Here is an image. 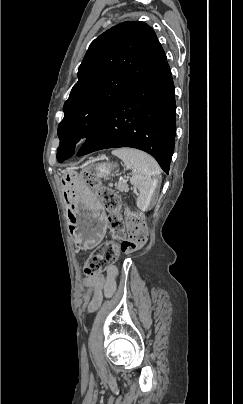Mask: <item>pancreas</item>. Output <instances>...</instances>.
Returning <instances> with one entry per match:
<instances>
[{
    "instance_id": "pancreas-1",
    "label": "pancreas",
    "mask_w": 243,
    "mask_h": 404,
    "mask_svg": "<svg viewBox=\"0 0 243 404\" xmlns=\"http://www.w3.org/2000/svg\"><path fill=\"white\" fill-rule=\"evenodd\" d=\"M116 190H119V192H129L128 184H123V182H117V184H114Z\"/></svg>"
}]
</instances>
